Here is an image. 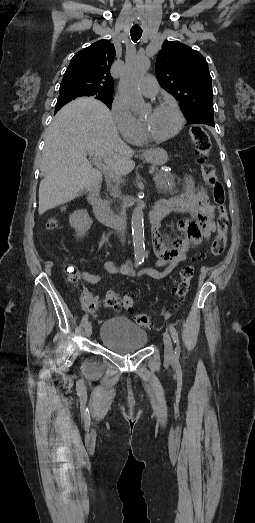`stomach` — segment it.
Listing matches in <instances>:
<instances>
[{"mask_svg": "<svg viewBox=\"0 0 255 523\" xmlns=\"http://www.w3.org/2000/svg\"><path fill=\"white\" fill-rule=\"evenodd\" d=\"M143 158L153 166H162V164H166L168 156L162 148H153V150L144 152Z\"/></svg>", "mask_w": 255, "mask_h": 523, "instance_id": "stomach-1", "label": "stomach"}]
</instances>
